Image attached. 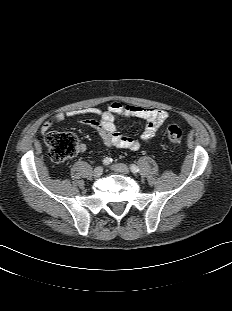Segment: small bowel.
<instances>
[{
	"mask_svg": "<svg viewBox=\"0 0 232 311\" xmlns=\"http://www.w3.org/2000/svg\"><path fill=\"white\" fill-rule=\"evenodd\" d=\"M78 116H90V118L84 119L83 123L97 131L106 147L135 151L140 147L139 140L121 134L115 124L116 117H136L145 120L146 124L141 132L140 139L144 142H150L161 124L168 118V113L160 109L123 105L114 101L106 110L91 107L58 113L41 126V133L46 135L55 124L67 118ZM79 150L84 152L86 145L81 143Z\"/></svg>",
	"mask_w": 232,
	"mask_h": 311,
	"instance_id": "obj_1",
	"label": "small bowel"
}]
</instances>
